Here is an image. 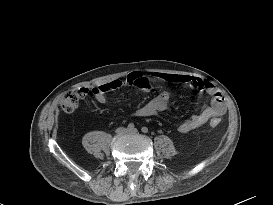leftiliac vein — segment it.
<instances>
[{
  "label": "left iliac vein",
  "mask_w": 273,
  "mask_h": 205,
  "mask_svg": "<svg viewBox=\"0 0 273 205\" xmlns=\"http://www.w3.org/2000/svg\"><path fill=\"white\" fill-rule=\"evenodd\" d=\"M137 132H138V130L136 128L131 129V130H127V133H133V134H135Z\"/></svg>",
  "instance_id": "left-iliac-vein-1"
}]
</instances>
